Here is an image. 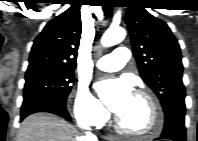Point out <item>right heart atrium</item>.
Masks as SVG:
<instances>
[{
  "instance_id": "right-heart-atrium-1",
  "label": "right heart atrium",
  "mask_w": 198,
  "mask_h": 141,
  "mask_svg": "<svg viewBox=\"0 0 198 141\" xmlns=\"http://www.w3.org/2000/svg\"><path fill=\"white\" fill-rule=\"evenodd\" d=\"M75 120L83 125L100 127L108 120V113L84 84L78 86L71 97Z\"/></svg>"
}]
</instances>
